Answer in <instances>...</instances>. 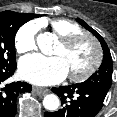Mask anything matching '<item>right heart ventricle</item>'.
<instances>
[{
  "mask_svg": "<svg viewBox=\"0 0 117 117\" xmlns=\"http://www.w3.org/2000/svg\"><path fill=\"white\" fill-rule=\"evenodd\" d=\"M49 25L60 38L82 32V29L76 23L64 18L54 19L50 21Z\"/></svg>",
  "mask_w": 117,
  "mask_h": 117,
  "instance_id": "right-heart-ventricle-1",
  "label": "right heart ventricle"
}]
</instances>
